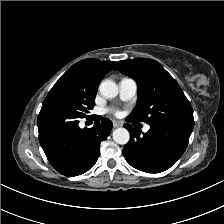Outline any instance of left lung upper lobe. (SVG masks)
<instances>
[{"label":"left lung upper lobe","instance_id":"obj_1","mask_svg":"<svg viewBox=\"0 0 224 224\" xmlns=\"http://www.w3.org/2000/svg\"><path fill=\"white\" fill-rule=\"evenodd\" d=\"M115 70L133 78L138 86L137 106L128 119L154 124L193 120V109L176 80L156 61L148 58L117 62Z\"/></svg>","mask_w":224,"mask_h":224}]
</instances>
